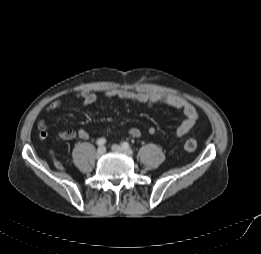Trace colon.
Wrapping results in <instances>:
<instances>
[{
  "instance_id": "colon-1",
  "label": "colon",
  "mask_w": 261,
  "mask_h": 254,
  "mask_svg": "<svg viewBox=\"0 0 261 254\" xmlns=\"http://www.w3.org/2000/svg\"><path fill=\"white\" fill-rule=\"evenodd\" d=\"M196 147H197V141L195 138L192 137L188 138L184 144V148L188 152L194 151ZM55 167L60 170L63 169V165L60 162H56Z\"/></svg>"
}]
</instances>
